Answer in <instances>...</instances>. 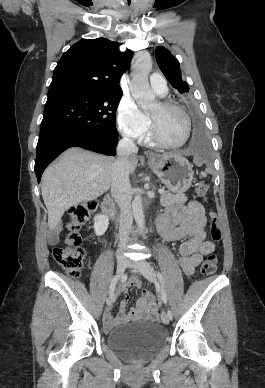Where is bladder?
I'll return each instance as SVG.
<instances>
[{"label":"bladder","mask_w":265,"mask_h":388,"mask_svg":"<svg viewBox=\"0 0 265 388\" xmlns=\"http://www.w3.org/2000/svg\"><path fill=\"white\" fill-rule=\"evenodd\" d=\"M168 334L155 321L120 326L107 334L106 344L132 361H146L165 346Z\"/></svg>","instance_id":"31cf9c89"}]
</instances>
